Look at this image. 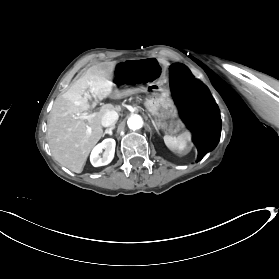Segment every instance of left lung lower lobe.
<instances>
[{
  "label": "left lung lower lobe",
  "instance_id": "obj_1",
  "mask_svg": "<svg viewBox=\"0 0 279 279\" xmlns=\"http://www.w3.org/2000/svg\"><path fill=\"white\" fill-rule=\"evenodd\" d=\"M169 79L176 105L197 131V161H200L220 140L219 109L209 90L183 64L174 63L170 66Z\"/></svg>",
  "mask_w": 279,
  "mask_h": 279
}]
</instances>
